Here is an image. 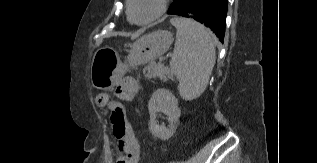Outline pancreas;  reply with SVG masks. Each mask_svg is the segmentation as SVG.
Returning a JSON list of instances; mask_svg holds the SVG:
<instances>
[{
    "instance_id": "1",
    "label": "pancreas",
    "mask_w": 317,
    "mask_h": 163,
    "mask_svg": "<svg viewBox=\"0 0 317 163\" xmlns=\"http://www.w3.org/2000/svg\"><path fill=\"white\" fill-rule=\"evenodd\" d=\"M144 71H147L146 76L149 78H159L163 81L166 80V74L168 69L162 64H156L151 62L149 65L145 66Z\"/></svg>"
}]
</instances>
